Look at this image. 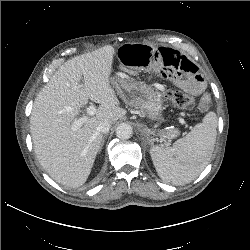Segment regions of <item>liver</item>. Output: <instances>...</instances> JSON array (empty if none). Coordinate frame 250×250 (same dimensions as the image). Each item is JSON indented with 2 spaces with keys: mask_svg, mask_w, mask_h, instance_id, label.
<instances>
[{
  "mask_svg": "<svg viewBox=\"0 0 250 250\" xmlns=\"http://www.w3.org/2000/svg\"><path fill=\"white\" fill-rule=\"evenodd\" d=\"M114 53L106 45L68 60L34 101L30 131L35 154L48 175L64 186L76 188L86 182L103 140L98 125L113 124L126 114L110 83ZM89 99L100 105L74 131L72 123Z\"/></svg>",
  "mask_w": 250,
  "mask_h": 250,
  "instance_id": "liver-1",
  "label": "liver"
}]
</instances>
